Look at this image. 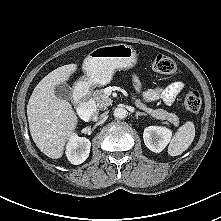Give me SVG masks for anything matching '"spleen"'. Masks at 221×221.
I'll return each mask as SVG.
<instances>
[{"label": "spleen", "instance_id": "3e777b00", "mask_svg": "<svg viewBox=\"0 0 221 221\" xmlns=\"http://www.w3.org/2000/svg\"><path fill=\"white\" fill-rule=\"evenodd\" d=\"M195 137V125L188 121L183 124L173 136L169 146L168 154L170 156L181 155L192 144Z\"/></svg>", "mask_w": 221, "mask_h": 221}]
</instances>
